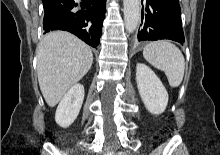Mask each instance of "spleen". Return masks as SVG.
I'll list each match as a JSON object with an SVG mask.
<instances>
[{
	"instance_id": "3e777b00",
	"label": "spleen",
	"mask_w": 220,
	"mask_h": 155,
	"mask_svg": "<svg viewBox=\"0 0 220 155\" xmlns=\"http://www.w3.org/2000/svg\"><path fill=\"white\" fill-rule=\"evenodd\" d=\"M143 56L152 66L164 71L171 87L176 88L181 84L185 60L177 46L167 40L150 42L145 46Z\"/></svg>"
}]
</instances>
